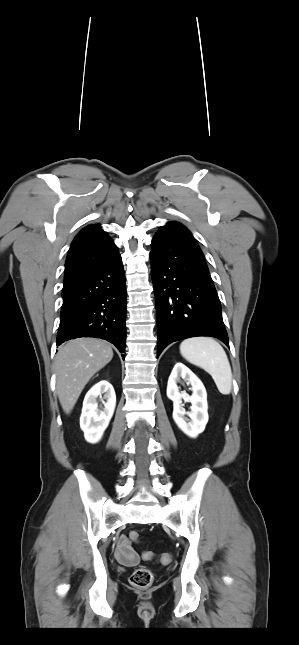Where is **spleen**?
Instances as JSON below:
<instances>
[{
	"label": "spleen",
	"mask_w": 299,
	"mask_h": 645,
	"mask_svg": "<svg viewBox=\"0 0 299 645\" xmlns=\"http://www.w3.org/2000/svg\"><path fill=\"white\" fill-rule=\"evenodd\" d=\"M181 355L191 364L208 372L219 392L228 395L232 388V372L223 347L209 337H194L180 344Z\"/></svg>",
	"instance_id": "obj_1"
}]
</instances>
